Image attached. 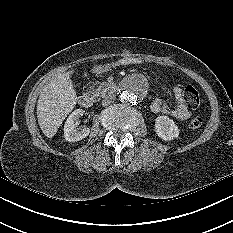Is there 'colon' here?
I'll list each match as a JSON object with an SVG mask.
<instances>
[{"instance_id": "colon-1", "label": "colon", "mask_w": 233, "mask_h": 233, "mask_svg": "<svg viewBox=\"0 0 233 233\" xmlns=\"http://www.w3.org/2000/svg\"><path fill=\"white\" fill-rule=\"evenodd\" d=\"M185 103L193 109L198 108L201 105V97L199 91L192 85H187L184 89ZM203 118L196 116L189 121V128L197 130L203 125Z\"/></svg>"}]
</instances>
